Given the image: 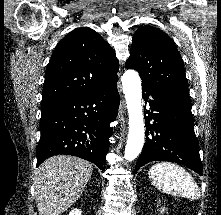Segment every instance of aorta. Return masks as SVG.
<instances>
[{
  "mask_svg": "<svg viewBox=\"0 0 221 215\" xmlns=\"http://www.w3.org/2000/svg\"><path fill=\"white\" fill-rule=\"evenodd\" d=\"M122 86L129 115V133L124 157L134 160L141 152L144 138V116L142 110L141 79L135 70H127L122 76Z\"/></svg>",
  "mask_w": 221,
  "mask_h": 215,
  "instance_id": "aorta-1",
  "label": "aorta"
}]
</instances>
